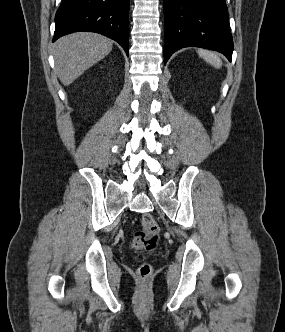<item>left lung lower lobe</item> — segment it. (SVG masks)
Returning <instances> with one entry per match:
<instances>
[{"label":"left lung lower lobe","mask_w":285,"mask_h":332,"mask_svg":"<svg viewBox=\"0 0 285 332\" xmlns=\"http://www.w3.org/2000/svg\"><path fill=\"white\" fill-rule=\"evenodd\" d=\"M164 63L178 49L202 47L232 58L225 0H164Z\"/></svg>","instance_id":"1"}]
</instances>
